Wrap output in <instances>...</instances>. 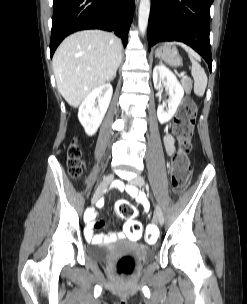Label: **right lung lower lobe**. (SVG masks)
<instances>
[{"mask_svg":"<svg viewBox=\"0 0 247 304\" xmlns=\"http://www.w3.org/2000/svg\"><path fill=\"white\" fill-rule=\"evenodd\" d=\"M134 8V0H53L50 56L67 35L84 29L114 31L126 46Z\"/></svg>","mask_w":247,"mask_h":304,"instance_id":"98d812e1","label":"right lung lower lobe"}]
</instances>
